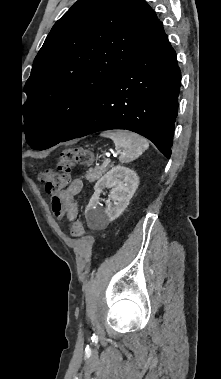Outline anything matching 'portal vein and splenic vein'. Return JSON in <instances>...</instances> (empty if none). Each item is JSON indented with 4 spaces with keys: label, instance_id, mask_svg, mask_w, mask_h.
Returning <instances> with one entry per match:
<instances>
[{
    "label": "portal vein and splenic vein",
    "instance_id": "obj_1",
    "mask_svg": "<svg viewBox=\"0 0 221 379\" xmlns=\"http://www.w3.org/2000/svg\"><path fill=\"white\" fill-rule=\"evenodd\" d=\"M110 162H111V158H110V154H109V155H107V158L104 161V165L107 166Z\"/></svg>",
    "mask_w": 221,
    "mask_h": 379
}]
</instances>
